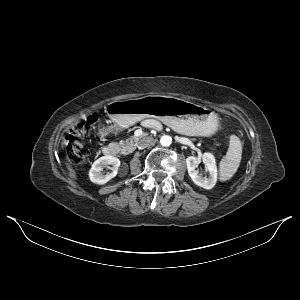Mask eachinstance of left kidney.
Returning a JSON list of instances; mask_svg holds the SVG:
<instances>
[{"label":"left kidney","mask_w":300,"mask_h":300,"mask_svg":"<svg viewBox=\"0 0 300 300\" xmlns=\"http://www.w3.org/2000/svg\"><path fill=\"white\" fill-rule=\"evenodd\" d=\"M201 160L205 164L206 171L209 172L208 177L199 174V172L196 170ZM186 164L188 174L196 185L204 189H211L215 186L217 182V166L215 157L212 153L207 152L202 155H198L197 157L189 156L186 159Z\"/></svg>","instance_id":"1"}]
</instances>
